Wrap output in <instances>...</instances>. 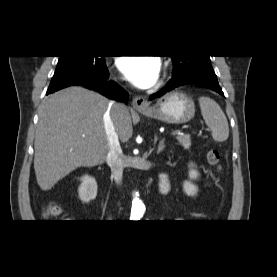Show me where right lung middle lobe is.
Here are the masks:
<instances>
[{
	"label": "right lung middle lobe",
	"instance_id": "obj_1",
	"mask_svg": "<svg viewBox=\"0 0 277 277\" xmlns=\"http://www.w3.org/2000/svg\"><path fill=\"white\" fill-rule=\"evenodd\" d=\"M48 90L68 87L80 81L100 82L108 77L103 56H59Z\"/></svg>",
	"mask_w": 277,
	"mask_h": 277
}]
</instances>
